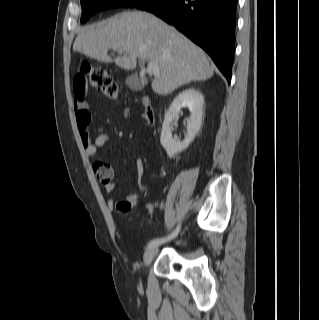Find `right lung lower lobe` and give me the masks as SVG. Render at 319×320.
Segmentation results:
<instances>
[{
	"label": "right lung lower lobe",
	"instance_id": "right-lung-lower-lobe-1",
	"mask_svg": "<svg viewBox=\"0 0 319 320\" xmlns=\"http://www.w3.org/2000/svg\"><path fill=\"white\" fill-rule=\"evenodd\" d=\"M137 8L174 25L202 47L230 83L237 0H152Z\"/></svg>",
	"mask_w": 319,
	"mask_h": 320
}]
</instances>
